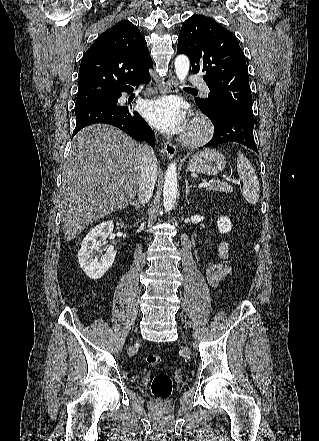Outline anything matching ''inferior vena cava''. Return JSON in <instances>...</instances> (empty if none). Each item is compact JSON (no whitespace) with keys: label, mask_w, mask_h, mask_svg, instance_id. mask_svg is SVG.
Returning a JSON list of instances; mask_svg holds the SVG:
<instances>
[{"label":"inferior vena cava","mask_w":319,"mask_h":441,"mask_svg":"<svg viewBox=\"0 0 319 441\" xmlns=\"http://www.w3.org/2000/svg\"><path fill=\"white\" fill-rule=\"evenodd\" d=\"M143 152L140 162V181L138 199L143 204L149 202L157 180V164L155 152L147 145L140 146Z\"/></svg>","instance_id":"1"}]
</instances>
